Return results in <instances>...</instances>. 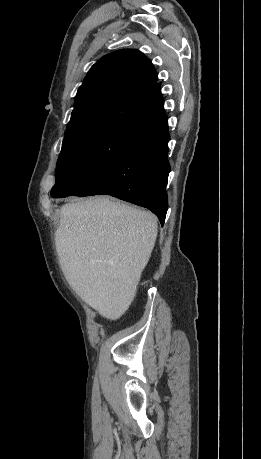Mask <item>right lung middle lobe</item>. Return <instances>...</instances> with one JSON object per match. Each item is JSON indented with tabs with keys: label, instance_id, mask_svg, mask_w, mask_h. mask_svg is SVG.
I'll return each mask as SVG.
<instances>
[{
	"label": "right lung middle lobe",
	"instance_id": "dd1d6c3e",
	"mask_svg": "<svg viewBox=\"0 0 261 459\" xmlns=\"http://www.w3.org/2000/svg\"><path fill=\"white\" fill-rule=\"evenodd\" d=\"M152 128L145 124L114 123L65 139L51 196L62 198L77 192L132 149Z\"/></svg>",
	"mask_w": 261,
	"mask_h": 459
}]
</instances>
